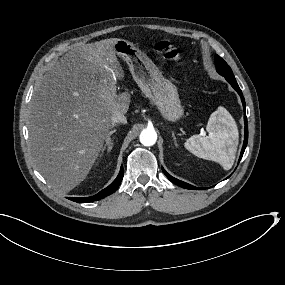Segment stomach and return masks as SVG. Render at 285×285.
Listing matches in <instances>:
<instances>
[{"instance_id":"stomach-1","label":"stomach","mask_w":285,"mask_h":285,"mask_svg":"<svg viewBox=\"0 0 285 285\" xmlns=\"http://www.w3.org/2000/svg\"><path fill=\"white\" fill-rule=\"evenodd\" d=\"M113 50L128 64L133 79L143 94L157 106L162 116L172 122L179 120L184 110L177 87L164 78L152 60L125 39H117Z\"/></svg>"}]
</instances>
